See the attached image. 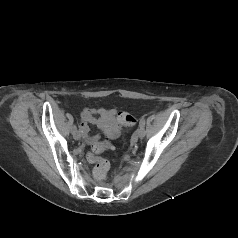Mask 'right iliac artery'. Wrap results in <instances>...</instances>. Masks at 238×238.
<instances>
[{"label":"right iliac artery","mask_w":238,"mask_h":238,"mask_svg":"<svg viewBox=\"0 0 238 238\" xmlns=\"http://www.w3.org/2000/svg\"><path fill=\"white\" fill-rule=\"evenodd\" d=\"M75 131H77V126H76V125H74V126L72 127V132H75Z\"/></svg>","instance_id":"82829eb1"}]
</instances>
